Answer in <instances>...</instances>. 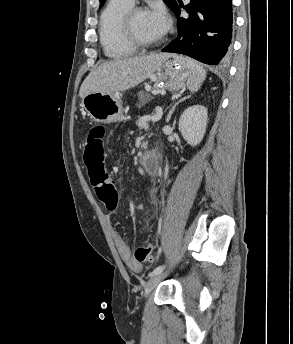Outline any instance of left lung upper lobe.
<instances>
[{
    "label": "left lung upper lobe",
    "instance_id": "1",
    "mask_svg": "<svg viewBox=\"0 0 293 344\" xmlns=\"http://www.w3.org/2000/svg\"><path fill=\"white\" fill-rule=\"evenodd\" d=\"M105 0H100V7L103 6ZM166 5L172 10L176 5V0H163Z\"/></svg>",
    "mask_w": 293,
    "mask_h": 344
}]
</instances>
